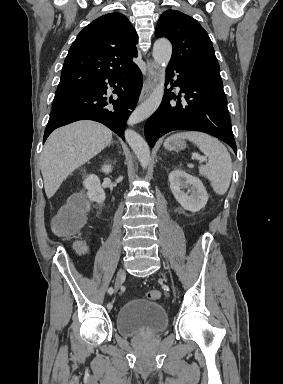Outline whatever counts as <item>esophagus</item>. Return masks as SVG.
<instances>
[{
	"mask_svg": "<svg viewBox=\"0 0 283 384\" xmlns=\"http://www.w3.org/2000/svg\"><path fill=\"white\" fill-rule=\"evenodd\" d=\"M146 70H147L146 79L144 81V84L141 90L139 103L143 102V100H145L149 96V94L152 92L153 88L157 83L158 76H159V67L155 62H153V60H149V59L147 60Z\"/></svg>",
	"mask_w": 283,
	"mask_h": 384,
	"instance_id": "esophagus-1",
	"label": "esophagus"
}]
</instances>
